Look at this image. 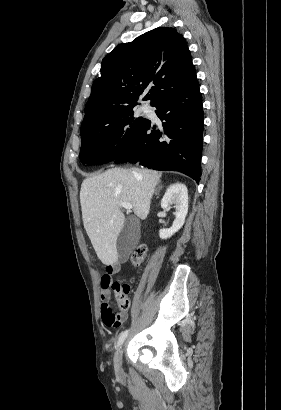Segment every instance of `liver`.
Instances as JSON below:
<instances>
[{"mask_svg":"<svg viewBox=\"0 0 281 410\" xmlns=\"http://www.w3.org/2000/svg\"><path fill=\"white\" fill-rule=\"evenodd\" d=\"M161 175L143 168H112L82 182L80 203L84 228L103 264L113 265L118 261L116 244L125 223L120 203H130L135 214L146 219Z\"/></svg>","mask_w":281,"mask_h":410,"instance_id":"6515ba94","label":"liver"}]
</instances>
